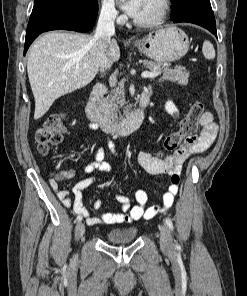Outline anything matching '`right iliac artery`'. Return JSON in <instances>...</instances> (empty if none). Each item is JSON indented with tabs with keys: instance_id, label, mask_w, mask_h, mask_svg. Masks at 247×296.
<instances>
[{
	"instance_id": "right-iliac-artery-1",
	"label": "right iliac artery",
	"mask_w": 247,
	"mask_h": 296,
	"mask_svg": "<svg viewBox=\"0 0 247 296\" xmlns=\"http://www.w3.org/2000/svg\"><path fill=\"white\" fill-rule=\"evenodd\" d=\"M82 220V216H77L76 221L80 222Z\"/></svg>"
}]
</instances>
